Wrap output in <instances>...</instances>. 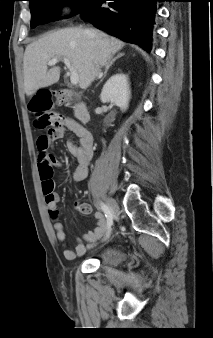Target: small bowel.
<instances>
[{
    "label": "small bowel",
    "instance_id": "small-bowel-1",
    "mask_svg": "<svg viewBox=\"0 0 213 338\" xmlns=\"http://www.w3.org/2000/svg\"><path fill=\"white\" fill-rule=\"evenodd\" d=\"M64 127L76 135L79 139L78 144L71 143L68 148L70 153L76 158L77 166L73 172V178L76 181H84L88 174V164L91 159L93 150V137L91 133L78 121L73 118H66L64 120ZM64 135V128H55L51 135H40L36 140L37 145V164L40 176L44 173L51 172L52 168L58 165V161L50 152L53 143L62 138ZM45 202L48 213L53 220V230L56 239L65 245L66 233L64 225L59 220V202L60 195L52 190L51 194L45 195ZM76 208L88 214L91 207L88 204L76 201ZM106 220L101 212L95 214V227L93 230L86 232L81 239H78L74 248H65L64 256L67 260H75L81 257L92 245L100 239L106 232Z\"/></svg>",
    "mask_w": 213,
    "mask_h": 338
}]
</instances>
